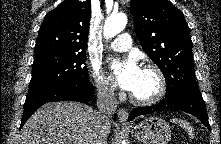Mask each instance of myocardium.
Instances as JSON below:
<instances>
[{
	"instance_id": "f54148a6",
	"label": "myocardium",
	"mask_w": 221,
	"mask_h": 144,
	"mask_svg": "<svg viewBox=\"0 0 221 144\" xmlns=\"http://www.w3.org/2000/svg\"><path fill=\"white\" fill-rule=\"evenodd\" d=\"M142 69L146 71H150L155 74L157 81H158L157 90L154 93V95L148 98H139L131 93L130 99L136 105H141V106L153 105L159 102L164 97L166 90H167V82H166L163 72L158 66L148 63V64H145Z\"/></svg>"
}]
</instances>
